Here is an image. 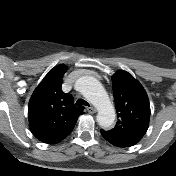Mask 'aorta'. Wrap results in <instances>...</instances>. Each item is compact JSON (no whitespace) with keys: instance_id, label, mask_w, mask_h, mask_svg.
Here are the masks:
<instances>
[{"instance_id":"762f6f07","label":"aorta","mask_w":176,"mask_h":176,"mask_svg":"<svg viewBox=\"0 0 176 176\" xmlns=\"http://www.w3.org/2000/svg\"><path fill=\"white\" fill-rule=\"evenodd\" d=\"M83 95L97 108V122L102 128H109L115 121V109L103 86L93 77L83 78Z\"/></svg>"}]
</instances>
